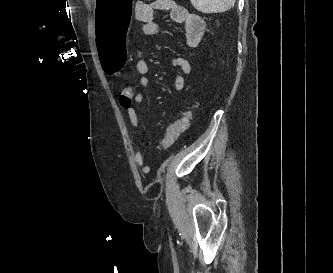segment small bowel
Segmentation results:
<instances>
[{
	"mask_svg": "<svg viewBox=\"0 0 333 273\" xmlns=\"http://www.w3.org/2000/svg\"><path fill=\"white\" fill-rule=\"evenodd\" d=\"M158 12L168 13L174 23L184 27L186 43L188 46L193 48L199 46L205 29L203 19L199 15L190 12L188 9L173 0H154L152 2L140 1L137 3L135 8V17L137 21L140 22L141 30L145 35L161 36L164 34L161 25L155 20V15ZM170 64L175 70L174 88L177 92L181 93L185 89V79L182 73L192 75L193 67L188 60L179 56L173 57L170 60ZM135 66L136 71L140 75L139 86L145 90L150 89L152 84L147 76L149 72V64L143 58V55L139 50L136 54ZM132 99L133 104L131 109H125V111L133 128L131 143L134 148V160L144 172H147L149 167L145 163L141 151L137 148L135 137V133L138 132L140 128V121L134 104L142 103L144 98L142 94L136 93L133 94Z\"/></svg>",
	"mask_w": 333,
	"mask_h": 273,
	"instance_id": "1",
	"label": "small bowel"
}]
</instances>
